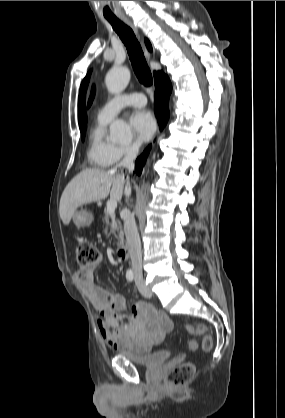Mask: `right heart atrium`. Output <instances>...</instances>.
<instances>
[{"label": "right heart atrium", "instance_id": "obj_1", "mask_svg": "<svg viewBox=\"0 0 285 418\" xmlns=\"http://www.w3.org/2000/svg\"><path fill=\"white\" fill-rule=\"evenodd\" d=\"M138 151H139L138 143H132L129 145H118L115 150L113 163H118L120 161L132 158L138 153Z\"/></svg>", "mask_w": 285, "mask_h": 418}]
</instances>
